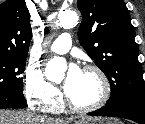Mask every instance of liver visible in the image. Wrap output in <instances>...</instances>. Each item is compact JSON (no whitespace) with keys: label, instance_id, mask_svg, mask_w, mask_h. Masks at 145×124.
Instances as JSON below:
<instances>
[{"label":"liver","instance_id":"liver-1","mask_svg":"<svg viewBox=\"0 0 145 124\" xmlns=\"http://www.w3.org/2000/svg\"><path fill=\"white\" fill-rule=\"evenodd\" d=\"M69 119H45L30 113L14 110H0V124H69Z\"/></svg>","mask_w":145,"mask_h":124}]
</instances>
